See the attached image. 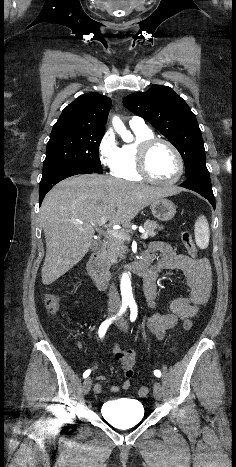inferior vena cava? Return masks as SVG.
<instances>
[{"label":"inferior vena cava","mask_w":236,"mask_h":467,"mask_svg":"<svg viewBox=\"0 0 236 467\" xmlns=\"http://www.w3.org/2000/svg\"><path fill=\"white\" fill-rule=\"evenodd\" d=\"M108 298H109L108 299V304H109L110 307H115V308L120 307V305H121L120 297H119L117 288L115 287L114 284L110 285Z\"/></svg>","instance_id":"inferior-vena-cava-1"}]
</instances>
